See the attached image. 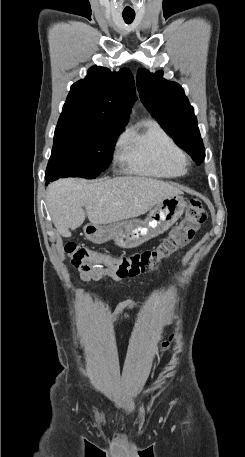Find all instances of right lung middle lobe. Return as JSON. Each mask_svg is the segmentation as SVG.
I'll return each instance as SVG.
<instances>
[{"instance_id": "obj_1", "label": "right lung middle lobe", "mask_w": 245, "mask_h": 457, "mask_svg": "<svg viewBox=\"0 0 245 457\" xmlns=\"http://www.w3.org/2000/svg\"><path fill=\"white\" fill-rule=\"evenodd\" d=\"M126 123L60 116L46 169V185L60 177L96 178L111 162Z\"/></svg>"}]
</instances>
